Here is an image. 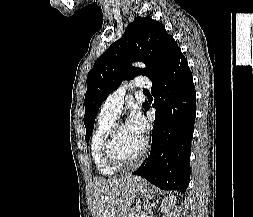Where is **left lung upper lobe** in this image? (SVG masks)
<instances>
[{"label":"left lung upper lobe","mask_w":253,"mask_h":217,"mask_svg":"<svg viewBox=\"0 0 253 217\" xmlns=\"http://www.w3.org/2000/svg\"><path fill=\"white\" fill-rule=\"evenodd\" d=\"M180 53L177 43L161 23L150 17L135 18L124 35L97 59L88 73L84 116L86 142L92 134L100 106L123 80L145 75L155 81ZM133 61H142L147 68L132 67Z\"/></svg>","instance_id":"1"}]
</instances>
